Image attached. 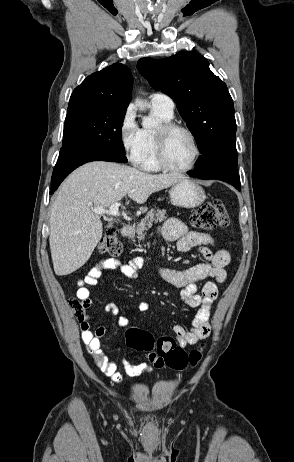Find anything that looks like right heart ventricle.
I'll list each match as a JSON object with an SVG mask.
<instances>
[{
    "label": "right heart ventricle",
    "instance_id": "obj_1",
    "mask_svg": "<svg viewBox=\"0 0 294 462\" xmlns=\"http://www.w3.org/2000/svg\"><path fill=\"white\" fill-rule=\"evenodd\" d=\"M154 115L163 123L169 122L173 114H168L160 109L152 108ZM155 129L143 128L141 130L143 151L139 162V167L146 172H158L160 167L156 157Z\"/></svg>",
    "mask_w": 294,
    "mask_h": 462
}]
</instances>
